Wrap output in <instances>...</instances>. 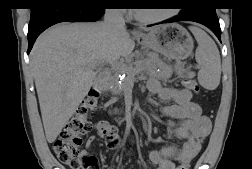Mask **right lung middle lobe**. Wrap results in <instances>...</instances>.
I'll list each match as a JSON object with an SVG mask.
<instances>
[{
	"instance_id": "1",
	"label": "right lung middle lobe",
	"mask_w": 252,
	"mask_h": 169,
	"mask_svg": "<svg viewBox=\"0 0 252 169\" xmlns=\"http://www.w3.org/2000/svg\"><path fill=\"white\" fill-rule=\"evenodd\" d=\"M92 3H98V4H105L107 0H87ZM39 2H42V0H39Z\"/></svg>"
}]
</instances>
